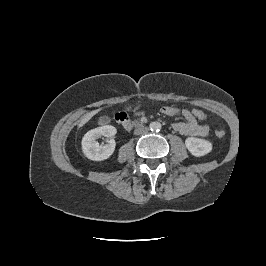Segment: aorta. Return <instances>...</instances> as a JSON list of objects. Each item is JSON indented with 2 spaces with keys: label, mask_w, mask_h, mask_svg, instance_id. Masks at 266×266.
<instances>
[{
  "label": "aorta",
  "mask_w": 266,
  "mask_h": 266,
  "mask_svg": "<svg viewBox=\"0 0 266 266\" xmlns=\"http://www.w3.org/2000/svg\"><path fill=\"white\" fill-rule=\"evenodd\" d=\"M150 129L154 131H159L161 129V124L159 122H152L150 124Z\"/></svg>",
  "instance_id": "762f6f07"
}]
</instances>
